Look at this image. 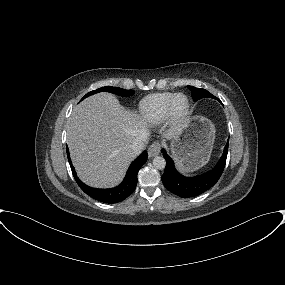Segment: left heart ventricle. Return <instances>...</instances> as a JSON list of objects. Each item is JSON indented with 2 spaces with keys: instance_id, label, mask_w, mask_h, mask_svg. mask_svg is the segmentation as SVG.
I'll return each mask as SVG.
<instances>
[{
  "instance_id": "1",
  "label": "left heart ventricle",
  "mask_w": 285,
  "mask_h": 285,
  "mask_svg": "<svg viewBox=\"0 0 285 285\" xmlns=\"http://www.w3.org/2000/svg\"><path fill=\"white\" fill-rule=\"evenodd\" d=\"M185 105H186V100H185V98L180 97V98L178 99V101H177V107H178L179 109H183V108L185 107Z\"/></svg>"
}]
</instances>
